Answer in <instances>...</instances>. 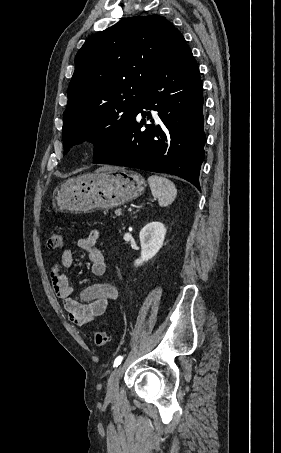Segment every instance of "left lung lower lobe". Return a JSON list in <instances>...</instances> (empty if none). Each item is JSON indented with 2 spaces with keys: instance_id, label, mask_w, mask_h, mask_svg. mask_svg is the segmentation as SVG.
<instances>
[{
  "instance_id": "left-lung-lower-lobe-1",
  "label": "left lung lower lobe",
  "mask_w": 281,
  "mask_h": 453,
  "mask_svg": "<svg viewBox=\"0 0 281 453\" xmlns=\"http://www.w3.org/2000/svg\"><path fill=\"white\" fill-rule=\"evenodd\" d=\"M160 125H145L150 112ZM142 113L140 122L137 115ZM203 86L197 63L183 36L175 37L171 51L148 87L135 117L120 139L95 163L127 166L179 176L200 190L204 160Z\"/></svg>"
}]
</instances>
